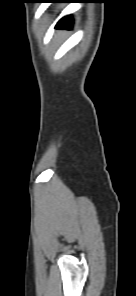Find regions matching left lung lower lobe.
Instances as JSON below:
<instances>
[{"mask_svg": "<svg viewBox=\"0 0 136 296\" xmlns=\"http://www.w3.org/2000/svg\"><path fill=\"white\" fill-rule=\"evenodd\" d=\"M73 2L72 0H56L54 1V3H71ZM72 24H73V20L71 15L63 17L62 19H60L58 21V23L56 24L57 29H71L72 28Z\"/></svg>", "mask_w": 136, "mask_h": 296, "instance_id": "0a47b994", "label": "left lung lower lobe"}]
</instances>
